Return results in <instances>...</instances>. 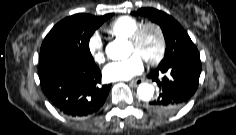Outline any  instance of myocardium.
Returning <instances> with one entry per match:
<instances>
[{
	"label": "myocardium",
	"mask_w": 236,
	"mask_h": 135,
	"mask_svg": "<svg viewBox=\"0 0 236 135\" xmlns=\"http://www.w3.org/2000/svg\"><path fill=\"white\" fill-rule=\"evenodd\" d=\"M149 29H153L157 33L159 45H158V50H157L156 54L154 55V57L144 58L143 60L147 64L155 65V64H158L163 59V57L165 55V51H166L165 33L159 24H157L155 22H151V21L142 23L136 29V31L134 32L132 37L129 39V43H130V45L133 46V48L136 51H138L141 44H142V41H143L146 31Z\"/></svg>",
	"instance_id": "1"
}]
</instances>
